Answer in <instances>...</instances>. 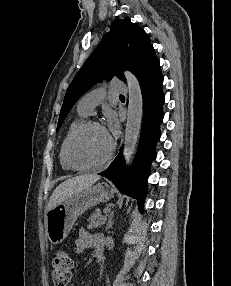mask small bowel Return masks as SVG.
Segmentation results:
<instances>
[{
  "mask_svg": "<svg viewBox=\"0 0 231 286\" xmlns=\"http://www.w3.org/2000/svg\"><path fill=\"white\" fill-rule=\"evenodd\" d=\"M103 237L99 234H91L85 229H81L78 238L75 241V251L77 253H82L88 248H97Z\"/></svg>",
  "mask_w": 231,
  "mask_h": 286,
  "instance_id": "1",
  "label": "small bowel"
}]
</instances>
